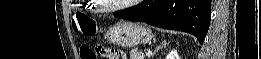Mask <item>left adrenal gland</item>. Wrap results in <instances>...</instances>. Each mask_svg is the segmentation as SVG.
<instances>
[{
    "mask_svg": "<svg viewBox=\"0 0 261 59\" xmlns=\"http://www.w3.org/2000/svg\"><path fill=\"white\" fill-rule=\"evenodd\" d=\"M168 44H169V42H167L166 40H163L162 43H161V45L158 46V47L155 49V51L153 52L152 58H153V56L156 54V52H158L160 49L165 48Z\"/></svg>",
    "mask_w": 261,
    "mask_h": 59,
    "instance_id": "left-adrenal-gland-1",
    "label": "left adrenal gland"
}]
</instances>
